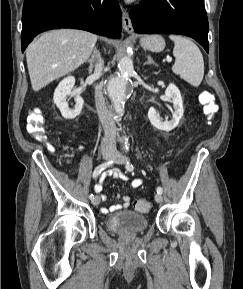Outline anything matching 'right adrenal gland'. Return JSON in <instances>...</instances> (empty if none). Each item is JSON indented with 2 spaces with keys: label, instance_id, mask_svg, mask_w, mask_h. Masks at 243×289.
<instances>
[{
  "label": "right adrenal gland",
  "instance_id": "1",
  "mask_svg": "<svg viewBox=\"0 0 243 289\" xmlns=\"http://www.w3.org/2000/svg\"><path fill=\"white\" fill-rule=\"evenodd\" d=\"M100 57V54H99V51L97 50V48L95 47L93 49V54H92V57L89 58L86 63H89V73H91L93 71V67H94V62L96 59H98Z\"/></svg>",
  "mask_w": 243,
  "mask_h": 289
}]
</instances>
